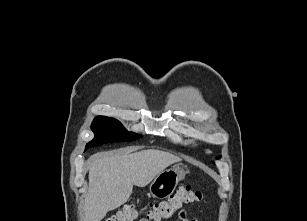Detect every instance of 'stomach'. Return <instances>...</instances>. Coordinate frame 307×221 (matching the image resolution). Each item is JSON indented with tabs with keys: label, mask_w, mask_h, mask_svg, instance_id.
Masks as SVG:
<instances>
[{
	"label": "stomach",
	"mask_w": 307,
	"mask_h": 221,
	"mask_svg": "<svg viewBox=\"0 0 307 221\" xmlns=\"http://www.w3.org/2000/svg\"><path fill=\"white\" fill-rule=\"evenodd\" d=\"M187 172L179 166L163 170L151 182L150 194L155 198H167L175 190L178 182L184 179Z\"/></svg>",
	"instance_id": "stomach-1"
}]
</instances>
